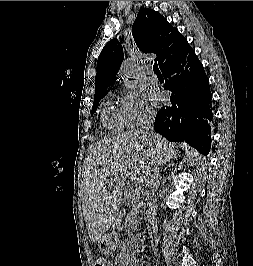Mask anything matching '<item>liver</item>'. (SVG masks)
<instances>
[{"instance_id":"1","label":"liver","mask_w":253,"mask_h":266,"mask_svg":"<svg viewBox=\"0 0 253 266\" xmlns=\"http://www.w3.org/2000/svg\"><path fill=\"white\" fill-rule=\"evenodd\" d=\"M152 145V147H151ZM176 155L160 135L149 142L134 130L92 144L83 173V213L93 242H98L119 216L122 189L129 177L142 183L147 175Z\"/></svg>"}]
</instances>
